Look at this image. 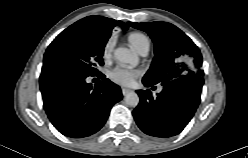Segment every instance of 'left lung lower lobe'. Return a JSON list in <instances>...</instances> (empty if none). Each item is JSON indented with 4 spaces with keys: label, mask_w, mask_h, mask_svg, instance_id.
<instances>
[{
    "label": "left lung lower lobe",
    "mask_w": 248,
    "mask_h": 158,
    "mask_svg": "<svg viewBox=\"0 0 248 158\" xmlns=\"http://www.w3.org/2000/svg\"><path fill=\"white\" fill-rule=\"evenodd\" d=\"M149 87L154 83L142 80ZM203 78L183 76L163 85V90L153 97L149 90H138L140 103L133 111L139 128L154 137L179 134L193 117L199 102Z\"/></svg>",
    "instance_id": "left-lung-lower-lobe-1"
}]
</instances>
